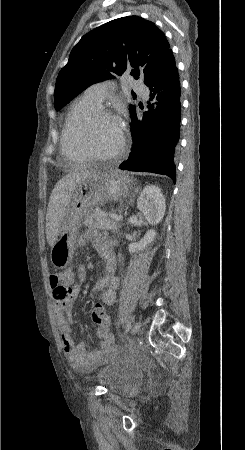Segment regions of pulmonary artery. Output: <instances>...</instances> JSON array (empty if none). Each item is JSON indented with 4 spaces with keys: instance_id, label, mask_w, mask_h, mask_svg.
I'll list each match as a JSON object with an SVG mask.
<instances>
[{
    "instance_id": "1",
    "label": "pulmonary artery",
    "mask_w": 245,
    "mask_h": 450,
    "mask_svg": "<svg viewBox=\"0 0 245 450\" xmlns=\"http://www.w3.org/2000/svg\"><path fill=\"white\" fill-rule=\"evenodd\" d=\"M131 88L135 93H141L143 85L132 79ZM84 94L93 102L102 105L104 99L114 94V88L107 83H96L88 87ZM146 94V93H144Z\"/></svg>"
}]
</instances>
